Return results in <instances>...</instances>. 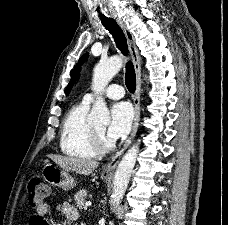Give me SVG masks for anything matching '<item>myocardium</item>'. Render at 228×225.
<instances>
[{"instance_id":"myocardium-1","label":"myocardium","mask_w":228,"mask_h":225,"mask_svg":"<svg viewBox=\"0 0 228 225\" xmlns=\"http://www.w3.org/2000/svg\"><path fill=\"white\" fill-rule=\"evenodd\" d=\"M93 135L96 148L99 152L106 153L113 149V143L105 137L103 132L93 128Z\"/></svg>"}]
</instances>
